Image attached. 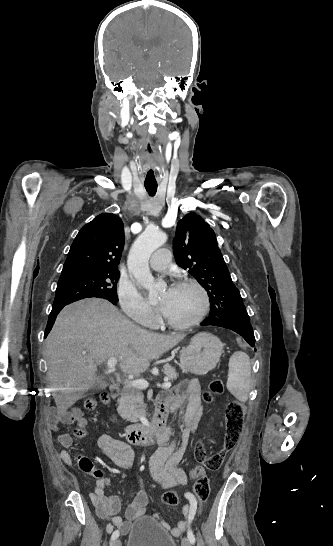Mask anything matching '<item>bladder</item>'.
Returning <instances> with one entry per match:
<instances>
[{
	"instance_id": "obj_1",
	"label": "bladder",
	"mask_w": 333,
	"mask_h": 546,
	"mask_svg": "<svg viewBox=\"0 0 333 546\" xmlns=\"http://www.w3.org/2000/svg\"><path fill=\"white\" fill-rule=\"evenodd\" d=\"M127 546H177V544L154 518L141 517L129 527Z\"/></svg>"
}]
</instances>
